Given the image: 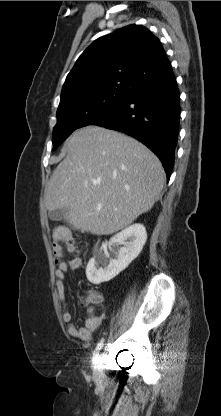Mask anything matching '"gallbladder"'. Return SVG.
Here are the masks:
<instances>
[{"mask_svg":"<svg viewBox=\"0 0 221 416\" xmlns=\"http://www.w3.org/2000/svg\"><path fill=\"white\" fill-rule=\"evenodd\" d=\"M67 209H55L52 211H49L48 216L52 221H61L64 219L65 215L67 214Z\"/></svg>","mask_w":221,"mask_h":416,"instance_id":"bac80fb5","label":"gallbladder"}]
</instances>
